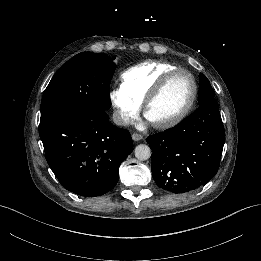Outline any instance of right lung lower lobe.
<instances>
[{"instance_id": "right-lung-lower-lobe-1", "label": "right lung lower lobe", "mask_w": 261, "mask_h": 261, "mask_svg": "<svg viewBox=\"0 0 261 261\" xmlns=\"http://www.w3.org/2000/svg\"><path fill=\"white\" fill-rule=\"evenodd\" d=\"M46 160L61 185L79 196H100L116 185L132 152L130 133L109 122L106 111L88 109L40 121Z\"/></svg>"}]
</instances>
